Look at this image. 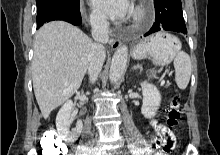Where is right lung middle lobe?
Listing matches in <instances>:
<instances>
[{
    "instance_id": "dd1d6c3e",
    "label": "right lung middle lobe",
    "mask_w": 220,
    "mask_h": 155,
    "mask_svg": "<svg viewBox=\"0 0 220 155\" xmlns=\"http://www.w3.org/2000/svg\"><path fill=\"white\" fill-rule=\"evenodd\" d=\"M37 13L55 7L78 8L79 0H36Z\"/></svg>"
}]
</instances>
